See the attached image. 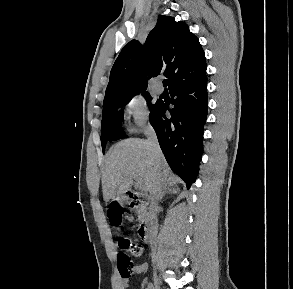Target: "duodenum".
I'll return each mask as SVG.
<instances>
[{"label": "duodenum", "mask_w": 293, "mask_h": 289, "mask_svg": "<svg viewBox=\"0 0 293 289\" xmlns=\"http://www.w3.org/2000/svg\"><path fill=\"white\" fill-rule=\"evenodd\" d=\"M125 201L129 207L144 210L147 201L135 192H127ZM138 232L142 240L146 244H152L156 239V228L154 219L149 215H144L139 224Z\"/></svg>", "instance_id": "duodenum-1"}]
</instances>
